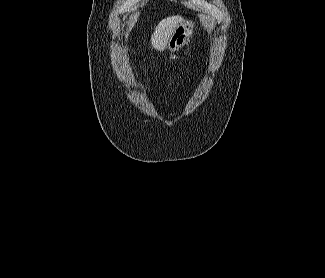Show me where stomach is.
Segmentation results:
<instances>
[{"label": "stomach", "mask_w": 325, "mask_h": 278, "mask_svg": "<svg viewBox=\"0 0 325 278\" xmlns=\"http://www.w3.org/2000/svg\"><path fill=\"white\" fill-rule=\"evenodd\" d=\"M195 22L192 20H182L173 31L166 48L175 52L189 43L194 33Z\"/></svg>", "instance_id": "0dacf381"}]
</instances>
